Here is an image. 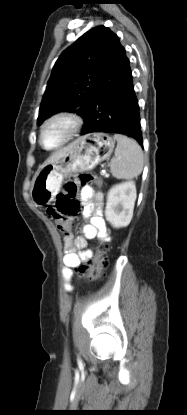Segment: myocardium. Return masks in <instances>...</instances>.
I'll return each instance as SVG.
<instances>
[{
    "mask_svg": "<svg viewBox=\"0 0 187 415\" xmlns=\"http://www.w3.org/2000/svg\"><path fill=\"white\" fill-rule=\"evenodd\" d=\"M59 120L66 121L70 125V129L66 137L60 143L52 147H47L45 146L43 142L44 132L51 123L55 121H59ZM82 125H83V119L77 113L71 112V111H57L51 114L49 117H47L41 124L40 129H39V136H38L39 144L46 150L59 149L67 145L71 140L74 139V137L80 131Z\"/></svg>",
    "mask_w": 187,
    "mask_h": 415,
    "instance_id": "myocardium-1",
    "label": "myocardium"
}]
</instances>
